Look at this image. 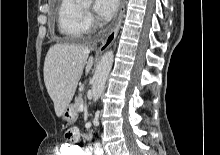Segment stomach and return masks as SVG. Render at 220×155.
<instances>
[{"instance_id":"stomach-1","label":"stomach","mask_w":220,"mask_h":155,"mask_svg":"<svg viewBox=\"0 0 220 155\" xmlns=\"http://www.w3.org/2000/svg\"><path fill=\"white\" fill-rule=\"evenodd\" d=\"M76 117L77 113L72 106H68L62 114V119L68 124H72L76 120Z\"/></svg>"}]
</instances>
